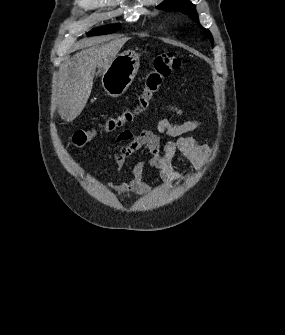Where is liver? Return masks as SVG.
Here are the masks:
<instances>
[{"label":"liver","mask_w":285,"mask_h":335,"mask_svg":"<svg viewBox=\"0 0 285 335\" xmlns=\"http://www.w3.org/2000/svg\"><path fill=\"white\" fill-rule=\"evenodd\" d=\"M127 40L129 38H119L108 44H103L104 40H84L74 44V50L81 52L72 58L67 76L60 86L58 112L62 120L72 122L80 116L91 94L96 68L107 70Z\"/></svg>","instance_id":"1"}]
</instances>
